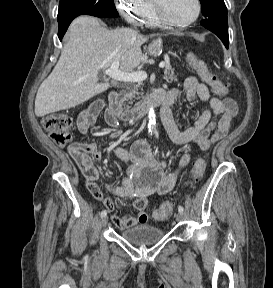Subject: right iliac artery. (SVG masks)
Instances as JSON below:
<instances>
[{"label": "right iliac artery", "mask_w": 273, "mask_h": 288, "mask_svg": "<svg viewBox=\"0 0 273 288\" xmlns=\"http://www.w3.org/2000/svg\"><path fill=\"white\" fill-rule=\"evenodd\" d=\"M106 215H107V211H106V210H103V211L101 212V214H100L101 218L106 217Z\"/></svg>", "instance_id": "82829eb1"}]
</instances>
